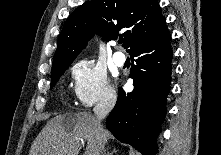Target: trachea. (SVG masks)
Returning a JSON list of instances; mask_svg holds the SVG:
<instances>
[{"instance_id": "3493384b", "label": "trachea", "mask_w": 221, "mask_h": 155, "mask_svg": "<svg viewBox=\"0 0 221 155\" xmlns=\"http://www.w3.org/2000/svg\"><path fill=\"white\" fill-rule=\"evenodd\" d=\"M123 43V40H119V44H122Z\"/></svg>"}]
</instances>
